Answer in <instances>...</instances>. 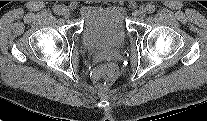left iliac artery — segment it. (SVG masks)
<instances>
[{
    "label": "left iliac artery",
    "instance_id": "1",
    "mask_svg": "<svg viewBox=\"0 0 207 121\" xmlns=\"http://www.w3.org/2000/svg\"><path fill=\"white\" fill-rule=\"evenodd\" d=\"M147 11H148V13H153L154 11H155V6L154 5H152V4H149L148 6H147Z\"/></svg>",
    "mask_w": 207,
    "mask_h": 121
}]
</instances>
